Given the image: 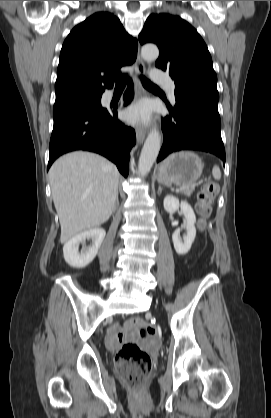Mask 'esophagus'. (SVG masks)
<instances>
[{"mask_svg":"<svg viewBox=\"0 0 271 418\" xmlns=\"http://www.w3.org/2000/svg\"><path fill=\"white\" fill-rule=\"evenodd\" d=\"M136 72H137V76H136V83H137V94L138 96L141 95V86H140V81L138 76L144 75L145 74V65L143 60L140 57L139 54V49H138V54H137V58H136ZM146 137V129L143 127H137L136 128V139L138 143H142L144 141Z\"/></svg>","mask_w":271,"mask_h":418,"instance_id":"34e87169","label":"esophagus"}]
</instances>
